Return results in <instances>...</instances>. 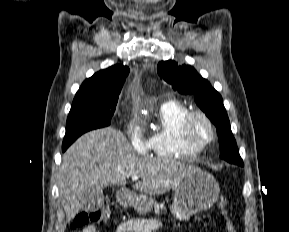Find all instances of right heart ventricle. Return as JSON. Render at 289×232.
<instances>
[{
	"label": "right heart ventricle",
	"mask_w": 289,
	"mask_h": 232,
	"mask_svg": "<svg viewBox=\"0 0 289 232\" xmlns=\"http://www.w3.org/2000/svg\"><path fill=\"white\" fill-rule=\"evenodd\" d=\"M189 109L182 103L169 100L157 112V124L148 139L149 148L159 157L193 156L198 149L189 146L181 136V123Z\"/></svg>",
	"instance_id": "right-heart-ventricle-1"
}]
</instances>
